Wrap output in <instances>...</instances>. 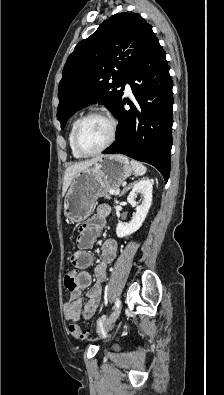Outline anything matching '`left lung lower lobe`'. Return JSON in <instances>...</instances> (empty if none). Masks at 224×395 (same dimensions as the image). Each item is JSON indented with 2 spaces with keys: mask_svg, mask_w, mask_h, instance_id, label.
Returning <instances> with one entry per match:
<instances>
[{
  "mask_svg": "<svg viewBox=\"0 0 224 395\" xmlns=\"http://www.w3.org/2000/svg\"><path fill=\"white\" fill-rule=\"evenodd\" d=\"M165 51L155 41L134 66L126 82L135 104L122 99L114 116L119 120L117 141L103 153H121L156 167L167 182L172 147V79Z\"/></svg>",
  "mask_w": 224,
  "mask_h": 395,
  "instance_id": "obj_1",
  "label": "left lung lower lobe"
}]
</instances>
